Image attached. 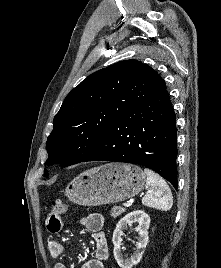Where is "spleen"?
<instances>
[{"mask_svg":"<svg viewBox=\"0 0 221 268\" xmlns=\"http://www.w3.org/2000/svg\"><path fill=\"white\" fill-rule=\"evenodd\" d=\"M144 174L148 191L142 199L143 205L162 211L170 210L173 205V197L166 181L148 168L144 169Z\"/></svg>","mask_w":221,"mask_h":268,"instance_id":"obj_1","label":"spleen"}]
</instances>
